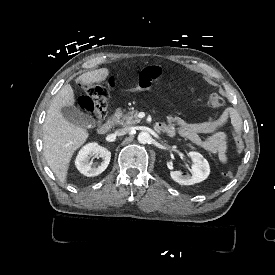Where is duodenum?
Segmentation results:
<instances>
[{
  "instance_id": "duodenum-1",
  "label": "duodenum",
  "mask_w": 275,
  "mask_h": 275,
  "mask_svg": "<svg viewBox=\"0 0 275 275\" xmlns=\"http://www.w3.org/2000/svg\"><path fill=\"white\" fill-rule=\"evenodd\" d=\"M114 124H115V118L110 117L103 124L100 125V127L98 129V133L100 135L108 134L111 131V129L113 128ZM155 130L158 131V132H163L165 134L169 133V128L164 123H156L155 124Z\"/></svg>"
}]
</instances>
